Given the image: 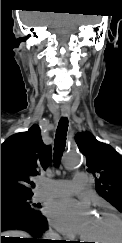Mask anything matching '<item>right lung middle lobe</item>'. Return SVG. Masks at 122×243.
Masks as SVG:
<instances>
[{
    "mask_svg": "<svg viewBox=\"0 0 122 243\" xmlns=\"http://www.w3.org/2000/svg\"><path fill=\"white\" fill-rule=\"evenodd\" d=\"M32 196L33 195L24 196V197L4 198L1 199V206L10 205V206L21 207L24 209L37 210L36 208L39 207V205L30 204V199Z\"/></svg>",
    "mask_w": 122,
    "mask_h": 243,
    "instance_id": "obj_1",
    "label": "right lung middle lobe"
}]
</instances>
